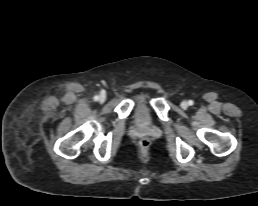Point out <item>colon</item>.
Returning <instances> with one entry per match:
<instances>
[{"label":"colon","instance_id":"colon-1","mask_svg":"<svg viewBox=\"0 0 258 206\" xmlns=\"http://www.w3.org/2000/svg\"><path fill=\"white\" fill-rule=\"evenodd\" d=\"M149 146H150V139L148 137L142 138L140 141L141 149L146 150L149 148Z\"/></svg>","mask_w":258,"mask_h":206}]
</instances>
